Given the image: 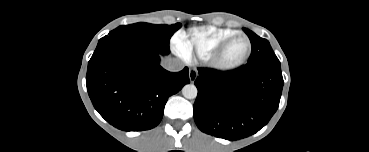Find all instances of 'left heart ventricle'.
Here are the masks:
<instances>
[{
    "instance_id": "1",
    "label": "left heart ventricle",
    "mask_w": 369,
    "mask_h": 152,
    "mask_svg": "<svg viewBox=\"0 0 369 152\" xmlns=\"http://www.w3.org/2000/svg\"><path fill=\"white\" fill-rule=\"evenodd\" d=\"M248 43L245 39L239 38L230 44L223 55L224 63H234L244 57L247 52Z\"/></svg>"
}]
</instances>
